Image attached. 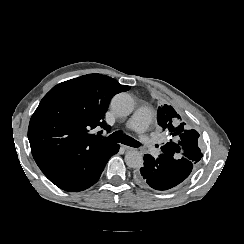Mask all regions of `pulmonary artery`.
<instances>
[{
  "instance_id": "obj_1",
  "label": "pulmonary artery",
  "mask_w": 244,
  "mask_h": 244,
  "mask_svg": "<svg viewBox=\"0 0 244 244\" xmlns=\"http://www.w3.org/2000/svg\"><path fill=\"white\" fill-rule=\"evenodd\" d=\"M151 113L146 108L136 109L126 121V128L131 133H138L149 126Z\"/></svg>"
}]
</instances>
